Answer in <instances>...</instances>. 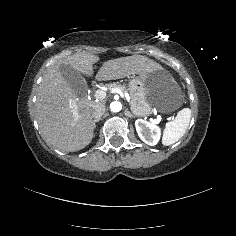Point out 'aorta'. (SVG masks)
Here are the masks:
<instances>
[{
	"instance_id": "obj_1",
	"label": "aorta",
	"mask_w": 236,
	"mask_h": 236,
	"mask_svg": "<svg viewBox=\"0 0 236 236\" xmlns=\"http://www.w3.org/2000/svg\"><path fill=\"white\" fill-rule=\"evenodd\" d=\"M122 108V105L118 101H113L110 103V111L111 112H119Z\"/></svg>"
}]
</instances>
